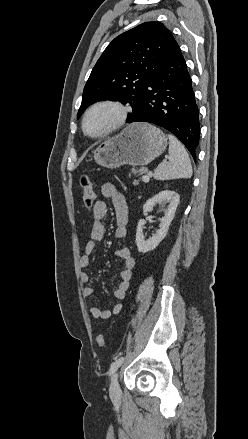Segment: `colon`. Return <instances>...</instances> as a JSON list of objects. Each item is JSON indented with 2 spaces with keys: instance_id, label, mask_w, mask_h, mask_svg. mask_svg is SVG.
<instances>
[{
  "instance_id": "colon-1",
  "label": "colon",
  "mask_w": 248,
  "mask_h": 439,
  "mask_svg": "<svg viewBox=\"0 0 248 439\" xmlns=\"http://www.w3.org/2000/svg\"><path fill=\"white\" fill-rule=\"evenodd\" d=\"M80 186L82 188L83 203L87 209H91L95 203V191H94L93 181L90 178V176L83 175L80 178ZM96 342L99 347L101 348L106 347V339L103 334H99L96 337Z\"/></svg>"
}]
</instances>
